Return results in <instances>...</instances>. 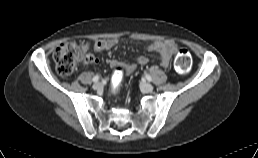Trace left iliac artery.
<instances>
[{
    "mask_svg": "<svg viewBox=\"0 0 258 158\" xmlns=\"http://www.w3.org/2000/svg\"><path fill=\"white\" fill-rule=\"evenodd\" d=\"M145 77H146V79H147L148 81H152V78H151V76H150V75L145 74Z\"/></svg>",
    "mask_w": 258,
    "mask_h": 158,
    "instance_id": "1",
    "label": "left iliac artery"
}]
</instances>
